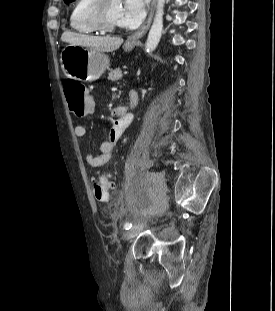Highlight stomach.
<instances>
[{"mask_svg": "<svg viewBox=\"0 0 275 311\" xmlns=\"http://www.w3.org/2000/svg\"><path fill=\"white\" fill-rule=\"evenodd\" d=\"M123 48L129 52L134 45L126 43ZM60 61L67 77L90 82L99 79L110 66L109 57L104 52L71 44L62 50Z\"/></svg>", "mask_w": 275, "mask_h": 311, "instance_id": "stomach-1", "label": "stomach"}]
</instances>
